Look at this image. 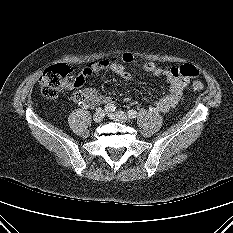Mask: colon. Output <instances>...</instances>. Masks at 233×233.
Returning a JSON list of instances; mask_svg holds the SVG:
<instances>
[{
	"label": "colon",
	"mask_w": 233,
	"mask_h": 233,
	"mask_svg": "<svg viewBox=\"0 0 233 233\" xmlns=\"http://www.w3.org/2000/svg\"><path fill=\"white\" fill-rule=\"evenodd\" d=\"M71 72L72 69L67 64L63 63L47 68L39 79L42 94L47 98L56 97L60 91L68 85ZM174 75L181 78L192 79L199 75V70L191 64H186L177 67L174 70ZM192 89L194 91H202L204 85L200 81H194L192 83ZM74 99L75 101L82 100L81 93H75Z\"/></svg>",
	"instance_id": "5ec220e1"
}]
</instances>
